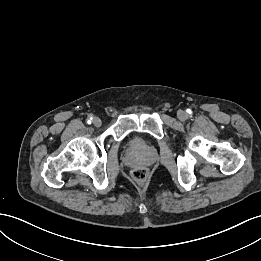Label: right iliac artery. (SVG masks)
I'll return each instance as SVG.
<instances>
[{
  "label": "right iliac artery",
  "instance_id": "obj_1",
  "mask_svg": "<svg viewBox=\"0 0 261 261\" xmlns=\"http://www.w3.org/2000/svg\"><path fill=\"white\" fill-rule=\"evenodd\" d=\"M92 119H93V116H92V117H89V119L87 120V123H88V124H91Z\"/></svg>",
  "mask_w": 261,
  "mask_h": 261
}]
</instances>
